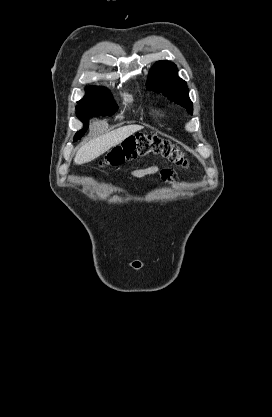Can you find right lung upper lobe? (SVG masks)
<instances>
[{"label":"right lung upper lobe","instance_id":"cb5924a9","mask_svg":"<svg viewBox=\"0 0 272 417\" xmlns=\"http://www.w3.org/2000/svg\"><path fill=\"white\" fill-rule=\"evenodd\" d=\"M96 94H108V95H110L109 92L102 87L90 86V87L86 88V96L83 99H81L78 103L84 101L88 96L96 95Z\"/></svg>","mask_w":272,"mask_h":417}]
</instances>
